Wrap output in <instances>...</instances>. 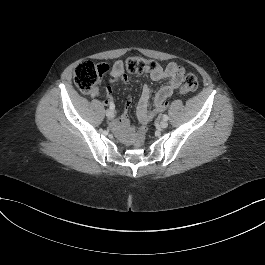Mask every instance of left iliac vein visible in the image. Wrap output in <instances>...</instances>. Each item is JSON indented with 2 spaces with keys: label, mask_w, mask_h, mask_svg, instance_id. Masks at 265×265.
Masks as SVG:
<instances>
[{
  "label": "left iliac vein",
  "mask_w": 265,
  "mask_h": 265,
  "mask_svg": "<svg viewBox=\"0 0 265 265\" xmlns=\"http://www.w3.org/2000/svg\"><path fill=\"white\" fill-rule=\"evenodd\" d=\"M160 126L162 127V128H166L167 126H168V122L166 121V120H161L160 121Z\"/></svg>",
  "instance_id": "obj_1"
}]
</instances>
